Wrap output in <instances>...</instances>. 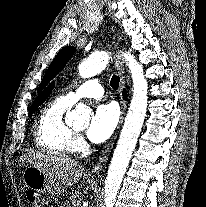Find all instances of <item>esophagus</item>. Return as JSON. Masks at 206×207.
<instances>
[{
	"label": "esophagus",
	"mask_w": 206,
	"mask_h": 207,
	"mask_svg": "<svg viewBox=\"0 0 206 207\" xmlns=\"http://www.w3.org/2000/svg\"><path fill=\"white\" fill-rule=\"evenodd\" d=\"M111 30H112V34H113L112 38L114 40L115 47L118 48V41L116 38L115 27L112 26ZM116 65H117V69H118L119 76H120V89H122L125 86V67H124L123 59L119 56L117 58ZM120 107H121V116H120L117 128H116L115 132L113 133L112 137L110 138V140L108 141V143L104 146L98 160L96 161L95 164H93V166L91 168L92 174L99 175L101 173V171H102V169H103V167H104V165H105V163L111 153V150L116 142L121 125L123 123L124 115L126 113V103L122 98L120 99Z\"/></svg>",
	"instance_id": "obj_1"
}]
</instances>
